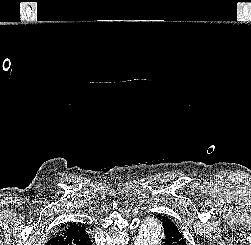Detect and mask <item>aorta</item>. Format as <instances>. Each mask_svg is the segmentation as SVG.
Masks as SVG:
<instances>
[{"instance_id":"aorta-1","label":"aorta","mask_w":251,"mask_h":245,"mask_svg":"<svg viewBox=\"0 0 251 245\" xmlns=\"http://www.w3.org/2000/svg\"><path fill=\"white\" fill-rule=\"evenodd\" d=\"M161 224L154 218H146L139 229L134 245H159Z\"/></svg>"}]
</instances>
